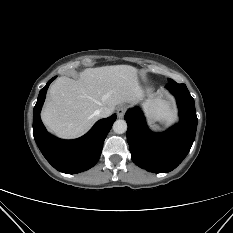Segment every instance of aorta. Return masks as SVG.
Masks as SVG:
<instances>
[{
    "instance_id": "obj_1",
    "label": "aorta",
    "mask_w": 233,
    "mask_h": 233,
    "mask_svg": "<svg viewBox=\"0 0 233 233\" xmlns=\"http://www.w3.org/2000/svg\"><path fill=\"white\" fill-rule=\"evenodd\" d=\"M127 130V123L125 120H116L113 124V131L117 134H123Z\"/></svg>"
}]
</instances>
